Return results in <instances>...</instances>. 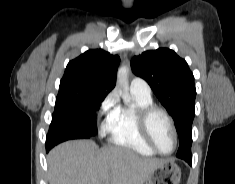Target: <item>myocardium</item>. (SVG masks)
Wrapping results in <instances>:
<instances>
[{
  "label": "myocardium",
  "mask_w": 235,
  "mask_h": 184,
  "mask_svg": "<svg viewBox=\"0 0 235 184\" xmlns=\"http://www.w3.org/2000/svg\"><path fill=\"white\" fill-rule=\"evenodd\" d=\"M156 113H160L165 117V119H166L168 125L170 126V128L173 132V135H174L175 146H174L173 151L169 154H165V153L161 152L158 149V147L156 146L155 141L153 139L151 121H152L153 116ZM137 118H138L139 129H140L142 135L147 140L150 147L152 148V150L156 154H158L160 156L167 157V156H171L175 153V151L177 150V147H178V132H177V129H176V126H175V123H174L172 116L170 115V113L166 109H164L160 106H157V105H151L149 107L139 109L138 113H137Z\"/></svg>",
  "instance_id": "obj_1"
}]
</instances>
